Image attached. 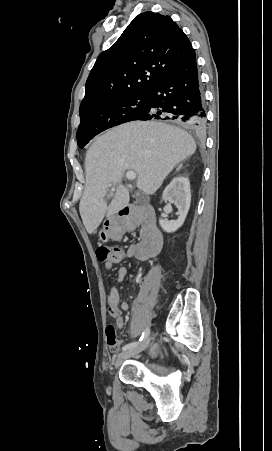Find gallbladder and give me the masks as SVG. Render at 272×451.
<instances>
[{
    "instance_id": "gallbladder-1",
    "label": "gallbladder",
    "mask_w": 272,
    "mask_h": 451,
    "mask_svg": "<svg viewBox=\"0 0 272 451\" xmlns=\"http://www.w3.org/2000/svg\"><path fill=\"white\" fill-rule=\"evenodd\" d=\"M137 202H138V204H141V202H140L139 198H138Z\"/></svg>"
}]
</instances>
